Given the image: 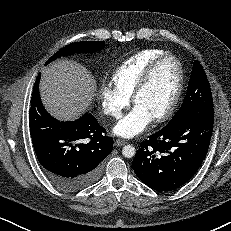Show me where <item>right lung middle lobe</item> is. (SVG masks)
Wrapping results in <instances>:
<instances>
[{"label": "right lung middle lobe", "mask_w": 231, "mask_h": 231, "mask_svg": "<svg viewBox=\"0 0 231 231\" xmlns=\"http://www.w3.org/2000/svg\"><path fill=\"white\" fill-rule=\"evenodd\" d=\"M103 47H104L103 41L75 42L60 49L46 62V64L50 63L51 61L61 56H68L73 53L96 52V51H100Z\"/></svg>", "instance_id": "dd1d6c3e"}]
</instances>
